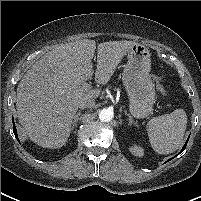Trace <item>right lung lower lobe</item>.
<instances>
[{
    "mask_svg": "<svg viewBox=\"0 0 201 201\" xmlns=\"http://www.w3.org/2000/svg\"><path fill=\"white\" fill-rule=\"evenodd\" d=\"M13 125H15V124H14V121H13ZM13 132H14V135H15L16 139L18 140L17 130H16V127H15V126H13ZM18 141H19V140H18Z\"/></svg>",
    "mask_w": 201,
    "mask_h": 201,
    "instance_id": "right-lung-lower-lobe-1",
    "label": "right lung lower lobe"
}]
</instances>
